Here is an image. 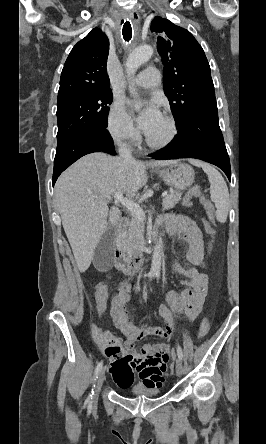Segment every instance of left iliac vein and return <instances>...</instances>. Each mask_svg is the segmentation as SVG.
<instances>
[{
  "label": "left iliac vein",
  "instance_id": "left-iliac-vein-1",
  "mask_svg": "<svg viewBox=\"0 0 266 444\" xmlns=\"http://www.w3.org/2000/svg\"><path fill=\"white\" fill-rule=\"evenodd\" d=\"M183 372H184V366H183V363H182V361H181L180 359H178V360L176 361V375H177L178 377H181L182 374H183Z\"/></svg>",
  "mask_w": 266,
  "mask_h": 444
}]
</instances>
